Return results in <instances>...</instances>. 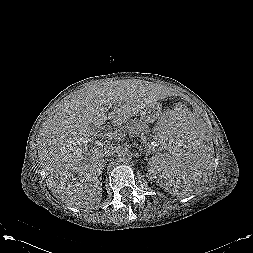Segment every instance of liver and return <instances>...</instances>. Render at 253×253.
<instances>
[{
    "instance_id": "6515ba94",
    "label": "liver",
    "mask_w": 253,
    "mask_h": 253,
    "mask_svg": "<svg viewBox=\"0 0 253 253\" xmlns=\"http://www.w3.org/2000/svg\"><path fill=\"white\" fill-rule=\"evenodd\" d=\"M157 100L155 84L130 80L90 85L64 100L42 124L38 151L51 193L78 209L99 205L104 155L92 128L107 120L120 127Z\"/></svg>"
}]
</instances>
